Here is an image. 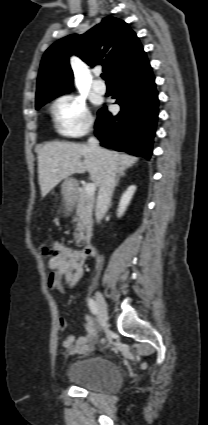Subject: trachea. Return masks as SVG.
Masks as SVG:
<instances>
[{
  "mask_svg": "<svg viewBox=\"0 0 208 425\" xmlns=\"http://www.w3.org/2000/svg\"><path fill=\"white\" fill-rule=\"evenodd\" d=\"M102 79L106 80L107 82H109V80L107 79L105 74H101Z\"/></svg>",
  "mask_w": 208,
  "mask_h": 425,
  "instance_id": "1",
  "label": "trachea"
}]
</instances>
